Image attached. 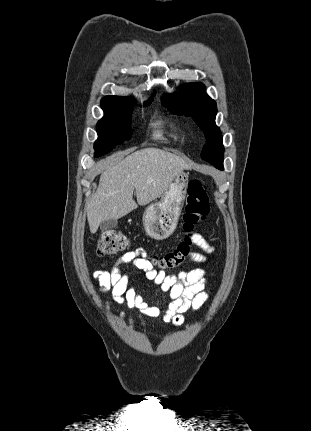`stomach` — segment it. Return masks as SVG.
I'll return each mask as SVG.
<instances>
[{"instance_id": "obj_1", "label": "stomach", "mask_w": 311, "mask_h": 431, "mask_svg": "<svg viewBox=\"0 0 311 431\" xmlns=\"http://www.w3.org/2000/svg\"><path fill=\"white\" fill-rule=\"evenodd\" d=\"M188 184V174L180 172L162 194L159 202H154L146 208L142 221L149 237L166 239L174 233L184 206Z\"/></svg>"}]
</instances>
